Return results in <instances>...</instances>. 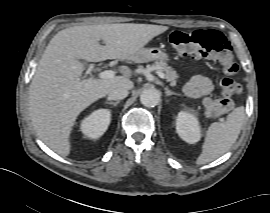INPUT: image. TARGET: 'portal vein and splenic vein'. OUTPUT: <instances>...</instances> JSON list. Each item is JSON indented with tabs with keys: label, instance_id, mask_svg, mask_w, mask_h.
Segmentation results:
<instances>
[{
	"label": "portal vein and splenic vein",
	"instance_id": "portal-vein-and-splenic-vein-1",
	"mask_svg": "<svg viewBox=\"0 0 270 213\" xmlns=\"http://www.w3.org/2000/svg\"><path fill=\"white\" fill-rule=\"evenodd\" d=\"M157 74L158 76L161 78V79H165V74L162 72V71H157ZM115 75V72L112 71V70H105V71H102L98 74V77L101 78V79H110V78H113Z\"/></svg>",
	"mask_w": 270,
	"mask_h": 213
}]
</instances>
